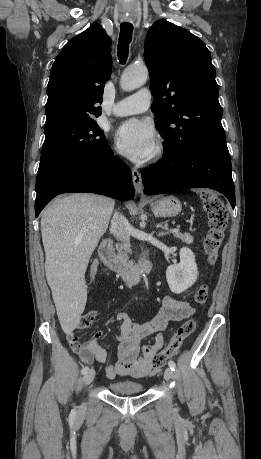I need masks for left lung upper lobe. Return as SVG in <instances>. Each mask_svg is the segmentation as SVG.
<instances>
[{"label":"left lung upper lobe","instance_id":"5c2ea615","mask_svg":"<svg viewBox=\"0 0 261 459\" xmlns=\"http://www.w3.org/2000/svg\"><path fill=\"white\" fill-rule=\"evenodd\" d=\"M155 125L167 153L225 139L216 71L205 44L164 19L149 29L144 44Z\"/></svg>","mask_w":261,"mask_h":459}]
</instances>
